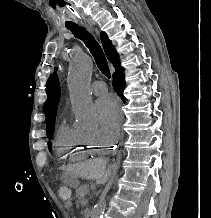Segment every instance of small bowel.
<instances>
[{"label": "small bowel", "instance_id": "c3829d8e", "mask_svg": "<svg viewBox=\"0 0 211 218\" xmlns=\"http://www.w3.org/2000/svg\"><path fill=\"white\" fill-rule=\"evenodd\" d=\"M65 205H66V207H71L72 206V201H67L66 203H65Z\"/></svg>", "mask_w": 211, "mask_h": 218}]
</instances>
